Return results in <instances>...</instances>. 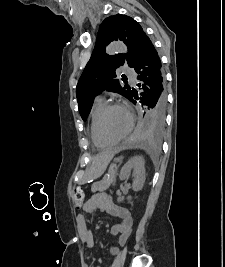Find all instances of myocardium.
Wrapping results in <instances>:
<instances>
[{"label":"myocardium","mask_w":225,"mask_h":267,"mask_svg":"<svg viewBox=\"0 0 225 267\" xmlns=\"http://www.w3.org/2000/svg\"><path fill=\"white\" fill-rule=\"evenodd\" d=\"M116 108L124 109L127 112L129 119H130V123H129V127H128L126 133L122 137H120L118 139H112L106 135V133L104 131L103 123H104V120H105L107 113L113 109H116ZM133 127H134L133 115L125 106L118 104V103H112V104L105 105L104 108L102 109L99 117H98V120H97V131H98L99 136L105 142H108L112 145H117V144L125 141L128 138V136L130 135L131 131L133 130Z\"/></svg>","instance_id":"1"}]
</instances>
